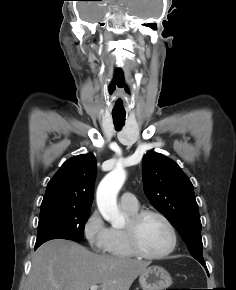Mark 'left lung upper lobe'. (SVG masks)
I'll return each mask as SVG.
<instances>
[{"label": "left lung upper lobe", "instance_id": "5c2ea615", "mask_svg": "<svg viewBox=\"0 0 236 290\" xmlns=\"http://www.w3.org/2000/svg\"><path fill=\"white\" fill-rule=\"evenodd\" d=\"M142 172L150 203L176 228L191 255L204 262L198 205L188 177L176 162L156 152L143 157Z\"/></svg>", "mask_w": 236, "mask_h": 290}]
</instances>
